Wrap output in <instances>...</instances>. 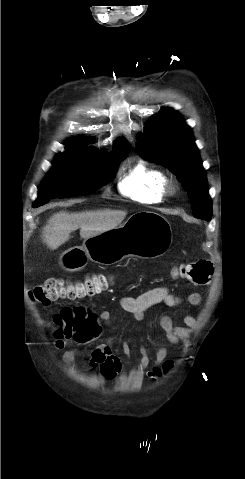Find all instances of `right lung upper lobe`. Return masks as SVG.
Listing matches in <instances>:
<instances>
[{
    "instance_id": "cb5924a9",
    "label": "right lung upper lobe",
    "mask_w": 245,
    "mask_h": 479,
    "mask_svg": "<svg viewBox=\"0 0 245 479\" xmlns=\"http://www.w3.org/2000/svg\"><path fill=\"white\" fill-rule=\"evenodd\" d=\"M70 145H79L87 149L85 143L81 139H74L69 141ZM130 147L129 144L124 140L120 139L118 142L115 144V149L113 152H123V151H129Z\"/></svg>"
}]
</instances>
